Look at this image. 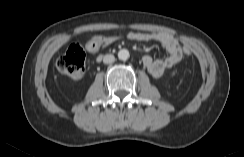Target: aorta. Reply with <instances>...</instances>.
<instances>
[{
    "instance_id": "aorta-1",
    "label": "aorta",
    "mask_w": 244,
    "mask_h": 157,
    "mask_svg": "<svg viewBox=\"0 0 244 157\" xmlns=\"http://www.w3.org/2000/svg\"><path fill=\"white\" fill-rule=\"evenodd\" d=\"M129 57H130V54H129V51L127 49H121L118 52V58L122 61H126L127 59H129Z\"/></svg>"
}]
</instances>
